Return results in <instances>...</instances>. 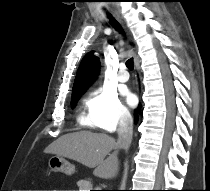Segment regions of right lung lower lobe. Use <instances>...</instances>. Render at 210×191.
<instances>
[{
	"instance_id": "obj_1",
	"label": "right lung lower lobe",
	"mask_w": 210,
	"mask_h": 191,
	"mask_svg": "<svg viewBox=\"0 0 210 191\" xmlns=\"http://www.w3.org/2000/svg\"><path fill=\"white\" fill-rule=\"evenodd\" d=\"M135 121H137V111H135Z\"/></svg>"
}]
</instances>
